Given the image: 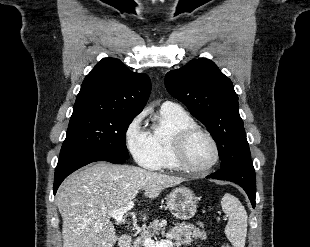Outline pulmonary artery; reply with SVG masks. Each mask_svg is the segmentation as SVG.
<instances>
[{
  "instance_id": "pulmonary-artery-1",
  "label": "pulmonary artery",
  "mask_w": 310,
  "mask_h": 247,
  "mask_svg": "<svg viewBox=\"0 0 310 247\" xmlns=\"http://www.w3.org/2000/svg\"><path fill=\"white\" fill-rule=\"evenodd\" d=\"M162 107H165V108H181L177 103L172 102V101L163 102Z\"/></svg>"
}]
</instances>
